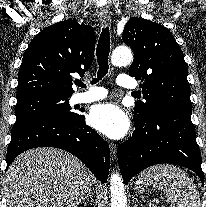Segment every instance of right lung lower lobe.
I'll list each match as a JSON object with an SVG mask.
<instances>
[{"label":"right lung lower lobe","instance_id":"right-lung-lower-lobe-1","mask_svg":"<svg viewBox=\"0 0 206 207\" xmlns=\"http://www.w3.org/2000/svg\"><path fill=\"white\" fill-rule=\"evenodd\" d=\"M35 147H56L68 151L85 163L98 180L106 182L108 178L109 145L86 125L85 117L80 113L13 127L6 156L7 168L20 153Z\"/></svg>","mask_w":206,"mask_h":207}]
</instances>
